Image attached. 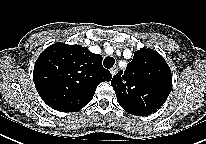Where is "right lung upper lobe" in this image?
<instances>
[{"label":"right lung upper lobe","instance_id":"obj_1","mask_svg":"<svg viewBox=\"0 0 206 144\" xmlns=\"http://www.w3.org/2000/svg\"><path fill=\"white\" fill-rule=\"evenodd\" d=\"M102 56L80 45L56 43L38 57L33 80L42 100L52 109L75 112L92 99L97 86L112 75Z\"/></svg>","mask_w":206,"mask_h":144}]
</instances>
